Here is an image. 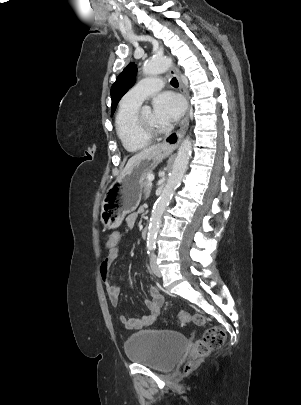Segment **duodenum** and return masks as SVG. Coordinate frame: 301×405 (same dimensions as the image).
Segmentation results:
<instances>
[{"label": "duodenum", "instance_id": "410a0bca", "mask_svg": "<svg viewBox=\"0 0 301 405\" xmlns=\"http://www.w3.org/2000/svg\"><path fill=\"white\" fill-rule=\"evenodd\" d=\"M148 233H149V228H148V226L146 225V226L143 227V229H142V231H141V237H142L143 239H146L147 236H148Z\"/></svg>", "mask_w": 301, "mask_h": 405}]
</instances>
